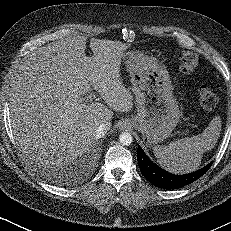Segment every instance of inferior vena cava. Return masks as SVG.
Instances as JSON below:
<instances>
[{"label":"inferior vena cava","instance_id":"602c4592","mask_svg":"<svg viewBox=\"0 0 231 231\" xmlns=\"http://www.w3.org/2000/svg\"><path fill=\"white\" fill-rule=\"evenodd\" d=\"M110 127H111V123L109 122L100 124L97 128L96 137L97 138L103 137L108 132Z\"/></svg>","mask_w":231,"mask_h":231}]
</instances>
